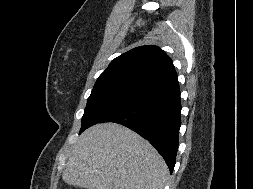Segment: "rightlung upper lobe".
I'll return each mask as SVG.
<instances>
[{
    "label": "right lung upper lobe",
    "instance_id": "right-lung-upper-lobe-1",
    "mask_svg": "<svg viewBox=\"0 0 253 189\" xmlns=\"http://www.w3.org/2000/svg\"><path fill=\"white\" fill-rule=\"evenodd\" d=\"M177 80L172 60L157 46L136 47L115 58L94 88L126 86L151 91Z\"/></svg>",
    "mask_w": 253,
    "mask_h": 189
}]
</instances>
